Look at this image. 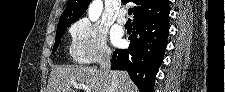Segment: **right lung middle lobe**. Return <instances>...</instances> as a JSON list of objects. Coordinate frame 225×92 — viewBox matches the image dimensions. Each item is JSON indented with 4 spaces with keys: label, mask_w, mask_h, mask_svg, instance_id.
Listing matches in <instances>:
<instances>
[{
    "label": "right lung middle lobe",
    "mask_w": 225,
    "mask_h": 92,
    "mask_svg": "<svg viewBox=\"0 0 225 92\" xmlns=\"http://www.w3.org/2000/svg\"><path fill=\"white\" fill-rule=\"evenodd\" d=\"M71 24H59L57 26V31H56V39H55V44H54V48L52 53H54L57 50V47L60 43L61 37L63 36V34L65 33V30L68 26H70Z\"/></svg>",
    "instance_id": "right-lung-middle-lobe-1"
}]
</instances>
